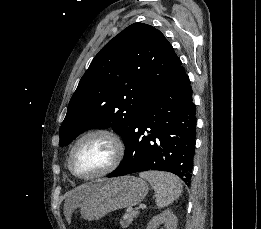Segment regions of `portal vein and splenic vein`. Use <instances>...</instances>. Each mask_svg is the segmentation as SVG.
<instances>
[{
    "label": "portal vein and splenic vein",
    "mask_w": 261,
    "mask_h": 229,
    "mask_svg": "<svg viewBox=\"0 0 261 229\" xmlns=\"http://www.w3.org/2000/svg\"><path fill=\"white\" fill-rule=\"evenodd\" d=\"M140 209H141V210L146 209V204H145V203H141V204H140ZM132 213H133V214H138V213H139L138 208L133 209V210H132ZM123 219H127V215H124Z\"/></svg>",
    "instance_id": "portal-vein-and-splenic-vein-1"
}]
</instances>
